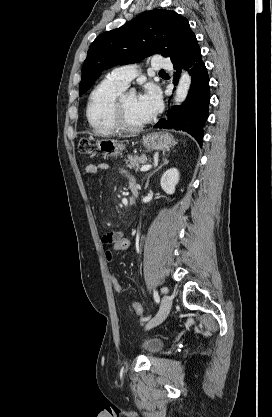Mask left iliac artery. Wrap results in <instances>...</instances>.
I'll list each match as a JSON object with an SVG mask.
<instances>
[{
	"instance_id": "1",
	"label": "left iliac artery",
	"mask_w": 272,
	"mask_h": 417,
	"mask_svg": "<svg viewBox=\"0 0 272 417\" xmlns=\"http://www.w3.org/2000/svg\"><path fill=\"white\" fill-rule=\"evenodd\" d=\"M153 297H154V300H155L157 303H159V301H160V297H159V294H158V292H157L156 290H154ZM149 318H150V317L143 318V319H142V321H146V320H148Z\"/></svg>"
}]
</instances>
